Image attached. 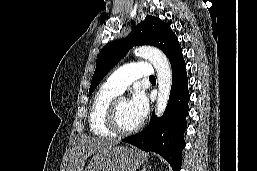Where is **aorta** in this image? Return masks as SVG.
I'll return each mask as SVG.
<instances>
[{
	"label": "aorta",
	"mask_w": 257,
	"mask_h": 171,
	"mask_svg": "<svg viewBox=\"0 0 257 171\" xmlns=\"http://www.w3.org/2000/svg\"><path fill=\"white\" fill-rule=\"evenodd\" d=\"M137 57L148 59L154 66L158 78V97L156 115H163L170 97L172 85V71L169 60L159 49L151 46H141L134 49Z\"/></svg>",
	"instance_id": "762f6f07"
}]
</instances>
